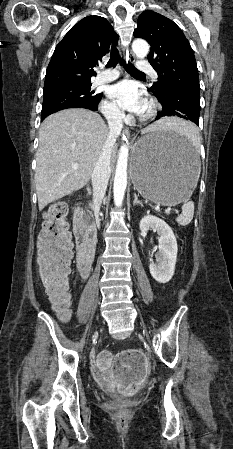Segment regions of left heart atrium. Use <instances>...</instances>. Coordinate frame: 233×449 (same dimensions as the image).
Listing matches in <instances>:
<instances>
[{
	"mask_svg": "<svg viewBox=\"0 0 233 449\" xmlns=\"http://www.w3.org/2000/svg\"><path fill=\"white\" fill-rule=\"evenodd\" d=\"M108 95L120 108L131 113H141L146 105L143 94L130 81L112 85L108 90Z\"/></svg>",
	"mask_w": 233,
	"mask_h": 449,
	"instance_id": "obj_1",
	"label": "left heart atrium"
}]
</instances>
